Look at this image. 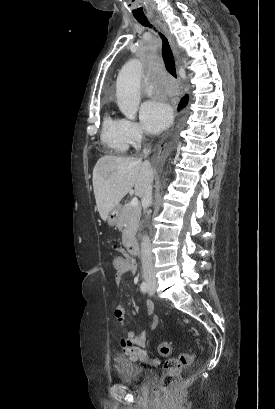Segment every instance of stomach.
Listing matches in <instances>:
<instances>
[{"label":"stomach","instance_id":"obj_1","mask_svg":"<svg viewBox=\"0 0 275 409\" xmlns=\"http://www.w3.org/2000/svg\"><path fill=\"white\" fill-rule=\"evenodd\" d=\"M122 211L121 205H117V207H114L112 211H110L108 217H107V223L109 227H117L120 219V213Z\"/></svg>","mask_w":275,"mask_h":409}]
</instances>
